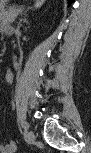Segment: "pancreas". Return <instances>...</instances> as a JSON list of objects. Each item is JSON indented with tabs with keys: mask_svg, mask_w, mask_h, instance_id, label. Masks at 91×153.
<instances>
[{
	"mask_svg": "<svg viewBox=\"0 0 91 153\" xmlns=\"http://www.w3.org/2000/svg\"><path fill=\"white\" fill-rule=\"evenodd\" d=\"M19 10L10 9L9 11H4L1 14V22L5 29L9 27V25L15 20Z\"/></svg>",
	"mask_w": 91,
	"mask_h": 153,
	"instance_id": "1",
	"label": "pancreas"
}]
</instances>
